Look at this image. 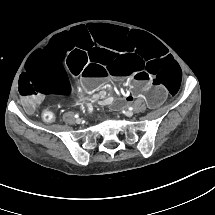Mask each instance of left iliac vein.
<instances>
[{"mask_svg":"<svg viewBox=\"0 0 215 215\" xmlns=\"http://www.w3.org/2000/svg\"><path fill=\"white\" fill-rule=\"evenodd\" d=\"M125 115L127 117H132L134 115V113L131 110H128V111L125 112Z\"/></svg>","mask_w":215,"mask_h":215,"instance_id":"1","label":"left iliac vein"}]
</instances>
